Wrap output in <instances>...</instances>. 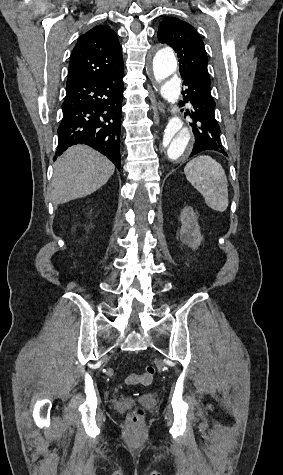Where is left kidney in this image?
<instances>
[{
	"label": "left kidney",
	"mask_w": 283,
	"mask_h": 475,
	"mask_svg": "<svg viewBox=\"0 0 283 475\" xmlns=\"http://www.w3.org/2000/svg\"><path fill=\"white\" fill-rule=\"evenodd\" d=\"M181 230L180 239L192 249H197L202 241L198 216L191 206H186L181 212Z\"/></svg>",
	"instance_id": "obj_1"
}]
</instances>
